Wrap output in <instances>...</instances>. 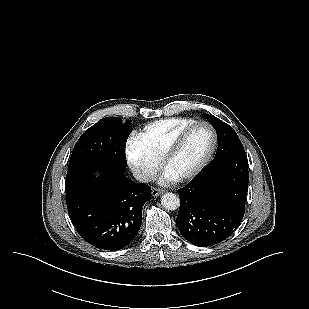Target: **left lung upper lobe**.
I'll list each match as a JSON object with an SVG mask.
<instances>
[{"mask_svg":"<svg viewBox=\"0 0 309 309\" xmlns=\"http://www.w3.org/2000/svg\"><path fill=\"white\" fill-rule=\"evenodd\" d=\"M204 117L212 124L217 132L218 148L214 159L230 152L244 150L238 135L231 126L213 115L205 114Z\"/></svg>","mask_w":309,"mask_h":309,"instance_id":"1","label":"left lung upper lobe"}]
</instances>
